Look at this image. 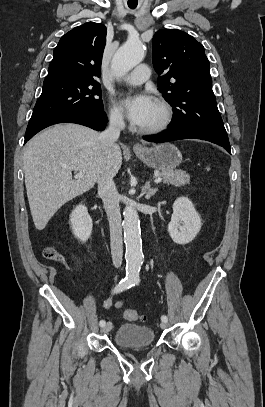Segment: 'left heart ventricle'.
<instances>
[{
    "label": "left heart ventricle",
    "instance_id": "left-heart-ventricle-1",
    "mask_svg": "<svg viewBox=\"0 0 265 407\" xmlns=\"http://www.w3.org/2000/svg\"><path fill=\"white\" fill-rule=\"evenodd\" d=\"M162 112L160 107L154 103V107L152 112L150 113L148 119L145 121L143 125L140 126V128H148L153 125H155L161 118Z\"/></svg>",
    "mask_w": 265,
    "mask_h": 407
}]
</instances>
